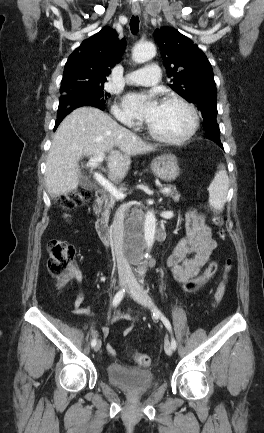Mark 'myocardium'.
<instances>
[{"mask_svg":"<svg viewBox=\"0 0 264 433\" xmlns=\"http://www.w3.org/2000/svg\"><path fill=\"white\" fill-rule=\"evenodd\" d=\"M162 103H176L183 106L191 116V124L188 131L180 137H167L163 136L156 131H154L149 124H147V132L148 134L155 140L170 144V145H182L190 140L194 134L196 133L199 127V115L195 107L190 104L187 100L179 97V96H166L163 98Z\"/></svg>","mask_w":264,"mask_h":433,"instance_id":"1","label":"myocardium"}]
</instances>
